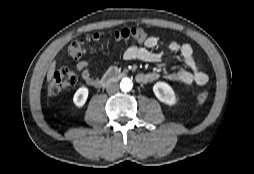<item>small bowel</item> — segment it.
Returning <instances> with one entry per match:
<instances>
[{"label": "small bowel", "mask_w": 254, "mask_h": 174, "mask_svg": "<svg viewBox=\"0 0 254 174\" xmlns=\"http://www.w3.org/2000/svg\"><path fill=\"white\" fill-rule=\"evenodd\" d=\"M157 45L158 39L155 36H150L142 45H132L126 48L123 58L126 61L160 62L165 58L166 54L165 52L156 51ZM168 47L170 51L180 55L186 69L169 73L165 76L166 79L189 87L202 86L207 83L208 76L197 62L190 44L173 41L169 43ZM90 66L91 63L89 61H80L76 64V69L81 72L82 79L86 84L98 87L100 81L97 77L93 76ZM158 78H160V75L156 72L139 73L137 75V80L145 84L152 83Z\"/></svg>", "instance_id": "c3829d8e"}]
</instances>
